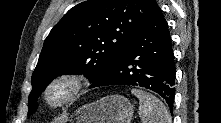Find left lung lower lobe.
I'll return each mask as SVG.
<instances>
[{
    "label": "left lung lower lobe",
    "mask_w": 221,
    "mask_h": 123,
    "mask_svg": "<svg viewBox=\"0 0 221 123\" xmlns=\"http://www.w3.org/2000/svg\"><path fill=\"white\" fill-rule=\"evenodd\" d=\"M175 74L168 25L158 7L119 58L95 78L90 88L106 85L145 87L162 96L172 112Z\"/></svg>",
    "instance_id": "0a47b994"
}]
</instances>
